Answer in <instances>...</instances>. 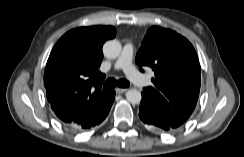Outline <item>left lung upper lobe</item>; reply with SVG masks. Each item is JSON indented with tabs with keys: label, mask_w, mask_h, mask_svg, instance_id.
I'll return each instance as SVG.
<instances>
[{
	"label": "left lung upper lobe",
	"mask_w": 244,
	"mask_h": 157,
	"mask_svg": "<svg viewBox=\"0 0 244 157\" xmlns=\"http://www.w3.org/2000/svg\"><path fill=\"white\" fill-rule=\"evenodd\" d=\"M136 63L155 73L154 85L144 88L142 96L170 123L181 126L195 109L200 91V64L192 44L171 29L153 26L142 41Z\"/></svg>",
	"instance_id": "1"
}]
</instances>
